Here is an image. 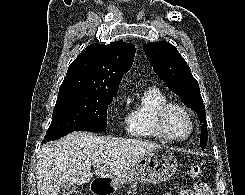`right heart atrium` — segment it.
Listing matches in <instances>:
<instances>
[{
	"label": "right heart atrium",
	"mask_w": 245,
	"mask_h": 195,
	"mask_svg": "<svg viewBox=\"0 0 245 195\" xmlns=\"http://www.w3.org/2000/svg\"><path fill=\"white\" fill-rule=\"evenodd\" d=\"M119 101L118 97L114 99L113 104L117 103ZM120 125H127L126 120L124 122H121Z\"/></svg>",
	"instance_id": "d8ad5b80"
}]
</instances>
